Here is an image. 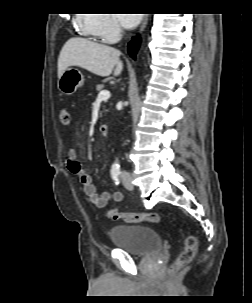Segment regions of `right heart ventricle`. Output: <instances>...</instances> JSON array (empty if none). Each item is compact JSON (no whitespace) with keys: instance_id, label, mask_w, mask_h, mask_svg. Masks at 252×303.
<instances>
[{"instance_id":"right-heart-ventricle-1","label":"right heart ventricle","mask_w":252,"mask_h":303,"mask_svg":"<svg viewBox=\"0 0 252 303\" xmlns=\"http://www.w3.org/2000/svg\"><path fill=\"white\" fill-rule=\"evenodd\" d=\"M90 15H80L79 17V20L81 21V24L83 26V28L85 29V31L92 35V36H95V37H98V35L96 33H94L89 27H88V24H87V21H88V18H89Z\"/></svg>"}]
</instances>
